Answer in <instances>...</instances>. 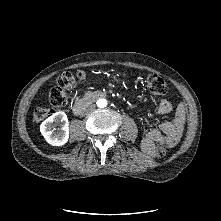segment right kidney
Returning a JSON list of instances; mask_svg holds the SVG:
<instances>
[{
	"mask_svg": "<svg viewBox=\"0 0 221 221\" xmlns=\"http://www.w3.org/2000/svg\"><path fill=\"white\" fill-rule=\"evenodd\" d=\"M56 126L61 128L56 129ZM40 132L52 146H63L69 139V122L63 111L54 113L40 125Z\"/></svg>",
	"mask_w": 221,
	"mask_h": 221,
	"instance_id": "right-kidney-1",
	"label": "right kidney"
}]
</instances>
